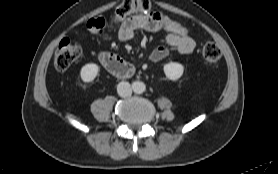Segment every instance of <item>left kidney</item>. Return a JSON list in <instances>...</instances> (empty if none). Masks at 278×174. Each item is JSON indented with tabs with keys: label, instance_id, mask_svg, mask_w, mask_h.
Wrapping results in <instances>:
<instances>
[{
	"label": "left kidney",
	"instance_id": "5707ae66",
	"mask_svg": "<svg viewBox=\"0 0 278 174\" xmlns=\"http://www.w3.org/2000/svg\"><path fill=\"white\" fill-rule=\"evenodd\" d=\"M164 73L169 80H178L184 72V67L180 63L170 62L164 65Z\"/></svg>",
	"mask_w": 278,
	"mask_h": 174
}]
</instances>
